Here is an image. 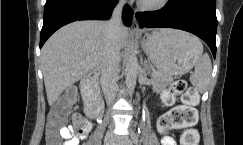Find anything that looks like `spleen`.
Here are the masks:
<instances>
[{"mask_svg": "<svg viewBox=\"0 0 243 145\" xmlns=\"http://www.w3.org/2000/svg\"><path fill=\"white\" fill-rule=\"evenodd\" d=\"M194 66L195 71L190 76V81L194 87L203 93L209 85L212 73V64L209 55L207 53L202 55L201 53Z\"/></svg>", "mask_w": 243, "mask_h": 145, "instance_id": "3e777b00", "label": "spleen"}]
</instances>
